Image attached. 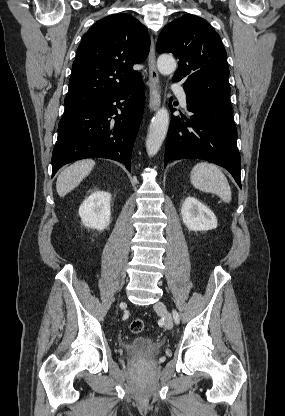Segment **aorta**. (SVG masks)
I'll list each match as a JSON object with an SVG mask.
<instances>
[{
    "instance_id": "1",
    "label": "aorta",
    "mask_w": 285,
    "mask_h": 416,
    "mask_svg": "<svg viewBox=\"0 0 285 416\" xmlns=\"http://www.w3.org/2000/svg\"><path fill=\"white\" fill-rule=\"evenodd\" d=\"M157 68L162 75H170L176 70V61L170 55H161L157 60ZM169 126V113L166 108H161L153 117L149 126L146 139V150L149 156H154L159 151Z\"/></svg>"
}]
</instances>
